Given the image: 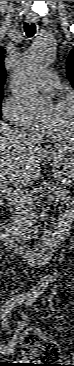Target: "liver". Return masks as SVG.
Instances as JSON below:
<instances>
[{
  "instance_id": "6515ba94",
  "label": "liver",
  "mask_w": 74,
  "mask_h": 366,
  "mask_svg": "<svg viewBox=\"0 0 74 366\" xmlns=\"http://www.w3.org/2000/svg\"><path fill=\"white\" fill-rule=\"evenodd\" d=\"M63 154L45 151L24 131L0 123V181L15 187L33 184L42 170Z\"/></svg>"
}]
</instances>
